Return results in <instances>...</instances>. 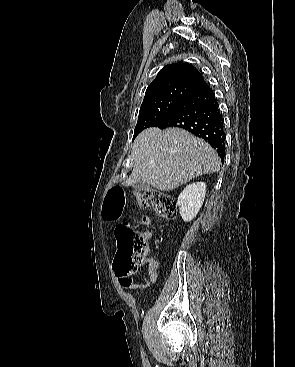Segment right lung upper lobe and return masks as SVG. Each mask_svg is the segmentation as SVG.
Returning a JSON list of instances; mask_svg holds the SVG:
<instances>
[{
  "instance_id": "cb5924a9",
  "label": "right lung upper lobe",
  "mask_w": 295,
  "mask_h": 367,
  "mask_svg": "<svg viewBox=\"0 0 295 367\" xmlns=\"http://www.w3.org/2000/svg\"><path fill=\"white\" fill-rule=\"evenodd\" d=\"M207 85L199 71L188 63H175L161 69L148 86L145 97L175 87L188 88L194 92Z\"/></svg>"
}]
</instances>
